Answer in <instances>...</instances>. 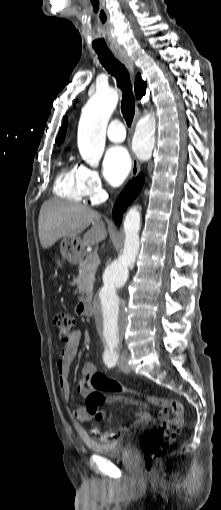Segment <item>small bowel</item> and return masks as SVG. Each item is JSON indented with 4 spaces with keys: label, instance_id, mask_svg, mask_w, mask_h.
<instances>
[{
    "label": "small bowel",
    "instance_id": "1",
    "mask_svg": "<svg viewBox=\"0 0 221 510\" xmlns=\"http://www.w3.org/2000/svg\"><path fill=\"white\" fill-rule=\"evenodd\" d=\"M80 342L81 333L79 331H75L71 336V339L68 342H66L65 345L60 350V357L56 365L59 388L64 400L67 402L70 401L71 399V389L69 383L70 368L78 353ZM95 372L96 368L92 363L84 364L81 369V376L77 382V390L84 397L93 392V389L89 384V377ZM93 410L101 412L103 416L105 415V411L102 408V405L97 406L94 409H88L87 406H79L73 409L72 414L78 421L85 422L90 421L92 419H96ZM151 420L152 417L148 412L141 411L134 415V420L131 424L121 428L116 432L102 434L98 430L94 429L92 431V434L94 436L99 437L102 440L112 441L127 434L133 428L149 424Z\"/></svg>",
    "mask_w": 221,
    "mask_h": 510
}]
</instances>
